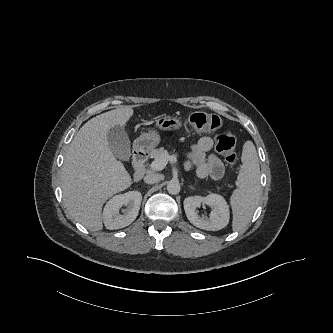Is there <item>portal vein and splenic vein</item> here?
<instances>
[{
  "label": "portal vein and splenic vein",
  "instance_id": "1",
  "mask_svg": "<svg viewBox=\"0 0 333 333\" xmlns=\"http://www.w3.org/2000/svg\"><path fill=\"white\" fill-rule=\"evenodd\" d=\"M176 161H177V159L175 156L166 154V155H163V156L155 159L151 163L150 168H151V170H154V171H160V170L164 169V167L167 165L168 162L176 163Z\"/></svg>",
  "mask_w": 333,
  "mask_h": 333
}]
</instances>
